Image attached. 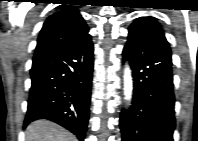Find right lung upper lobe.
Masks as SVG:
<instances>
[{"instance_id":"cb5924a9","label":"right lung upper lobe","mask_w":198,"mask_h":141,"mask_svg":"<svg viewBox=\"0 0 198 141\" xmlns=\"http://www.w3.org/2000/svg\"><path fill=\"white\" fill-rule=\"evenodd\" d=\"M86 32H88L87 24L78 10L66 5L45 21L34 56L68 44Z\"/></svg>"}]
</instances>
